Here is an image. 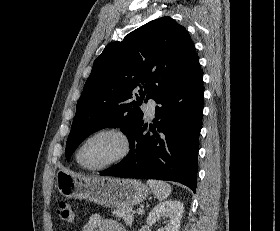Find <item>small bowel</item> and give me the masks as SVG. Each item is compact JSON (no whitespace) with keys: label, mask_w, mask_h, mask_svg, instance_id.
<instances>
[{"label":"small bowel","mask_w":280,"mask_h":231,"mask_svg":"<svg viewBox=\"0 0 280 231\" xmlns=\"http://www.w3.org/2000/svg\"><path fill=\"white\" fill-rule=\"evenodd\" d=\"M82 231H126V229L116 220L102 218L100 215H92L88 222L84 224Z\"/></svg>","instance_id":"obj_1"}]
</instances>
